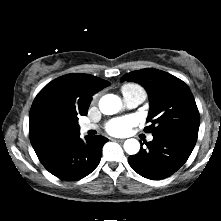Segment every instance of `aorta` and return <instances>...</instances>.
Here are the masks:
<instances>
[{
	"label": "aorta",
	"instance_id": "aorta-1",
	"mask_svg": "<svg viewBox=\"0 0 221 221\" xmlns=\"http://www.w3.org/2000/svg\"><path fill=\"white\" fill-rule=\"evenodd\" d=\"M122 106L121 99L114 94L104 95L99 101V109L105 115L117 113ZM140 143L137 139L131 138L124 142V150L129 155H134L139 152Z\"/></svg>",
	"mask_w": 221,
	"mask_h": 221
}]
</instances>
